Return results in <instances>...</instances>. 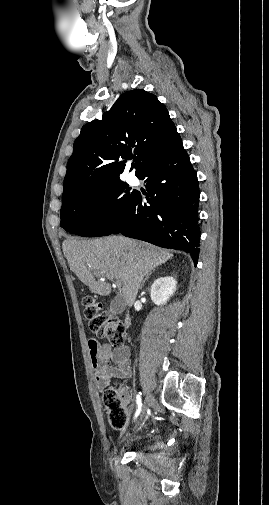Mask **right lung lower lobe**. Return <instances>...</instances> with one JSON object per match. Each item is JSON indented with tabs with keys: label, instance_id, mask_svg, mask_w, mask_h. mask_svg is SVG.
Wrapping results in <instances>:
<instances>
[{
	"label": "right lung lower lobe",
	"instance_id": "obj_1",
	"mask_svg": "<svg viewBox=\"0 0 269 505\" xmlns=\"http://www.w3.org/2000/svg\"><path fill=\"white\" fill-rule=\"evenodd\" d=\"M145 179L147 203L136 192L111 234L143 240L163 248L199 256V185L182 142L148 164L137 176Z\"/></svg>",
	"mask_w": 269,
	"mask_h": 505
}]
</instances>
